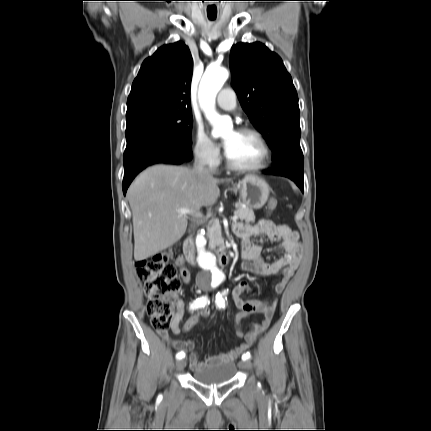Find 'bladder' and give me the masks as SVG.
<instances>
[{
    "instance_id": "obj_1",
    "label": "bladder",
    "mask_w": 431,
    "mask_h": 431,
    "mask_svg": "<svg viewBox=\"0 0 431 431\" xmlns=\"http://www.w3.org/2000/svg\"><path fill=\"white\" fill-rule=\"evenodd\" d=\"M236 373L237 365L234 362H228L194 370L192 377L200 384L219 386L231 382Z\"/></svg>"
}]
</instances>
